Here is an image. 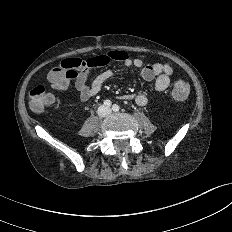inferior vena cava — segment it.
Listing matches in <instances>:
<instances>
[{"label": "inferior vena cava", "mask_w": 232, "mask_h": 232, "mask_svg": "<svg viewBox=\"0 0 232 232\" xmlns=\"http://www.w3.org/2000/svg\"><path fill=\"white\" fill-rule=\"evenodd\" d=\"M102 107L99 108L98 114L99 115H108L111 113V109L108 107H103V110L101 109Z\"/></svg>", "instance_id": "1"}]
</instances>
